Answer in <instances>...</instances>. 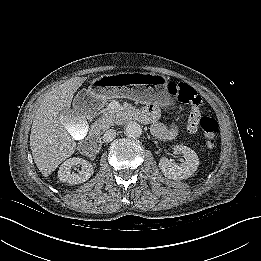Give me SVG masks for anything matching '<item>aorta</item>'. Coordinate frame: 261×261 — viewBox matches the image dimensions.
Returning a JSON list of instances; mask_svg holds the SVG:
<instances>
[{
  "mask_svg": "<svg viewBox=\"0 0 261 261\" xmlns=\"http://www.w3.org/2000/svg\"><path fill=\"white\" fill-rule=\"evenodd\" d=\"M125 134L127 137L137 139L142 134L141 126L136 122H129L125 127ZM78 136V135H75Z\"/></svg>",
  "mask_w": 261,
  "mask_h": 261,
  "instance_id": "aorta-1",
  "label": "aorta"
}]
</instances>
